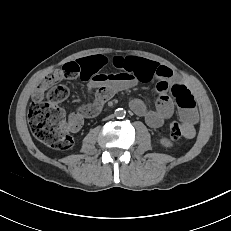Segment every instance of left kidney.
Listing matches in <instances>:
<instances>
[{
    "instance_id": "left-kidney-1",
    "label": "left kidney",
    "mask_w": 231,
    "mask_h": 231,
    "mask_svg": "<svg viewBox=\"0 0 231 231\" xmlns=\"http://www.w3.org/2000/svg\"><path fill=\"white\" fill-rule=\"evenodd\" d=\"M160 144L162 146L166 147V148H170V147L173 146L172 142L169 139H167V138H161L160 139Z\"/></svg>"
}]
</instances>
